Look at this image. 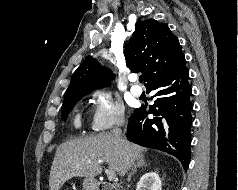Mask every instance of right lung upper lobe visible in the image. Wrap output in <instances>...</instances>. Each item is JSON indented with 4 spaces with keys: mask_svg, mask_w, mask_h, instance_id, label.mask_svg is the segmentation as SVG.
Wrapping results in <instances>:
<instances>
[{
    "mask_svg": "<svg viewBox=\"0 0 238 190\" xmlns=\"http://www.w3.org/2000/svg\"><path fill=\"white\" fill-rule=\"evenodd\" d=\"M124 55L131 71L143 73L146 87L174 70L185 58L178 38L165 23L154 19L136 22ZM112 78L108 69L101 68L88 56L74 72L65 97L88 94L96 88L109 86Z\"/></svg>",
    "mask_w": 238,
    "mask_h": 190,
    "instance_id": "obj_1",
    "label": "right lung upper lobe"
}]
</instances>
